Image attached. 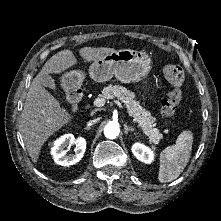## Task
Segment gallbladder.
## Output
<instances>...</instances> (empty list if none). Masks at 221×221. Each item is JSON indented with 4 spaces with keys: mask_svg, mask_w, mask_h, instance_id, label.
<instances>
[{
    "mask_svg": "<svg viewBox=\"0 0 221 221\" xmlns=\"http://www.w3.org/2000/svg\"><path fill=\"white\" fill-rule=\"evenodd\" d=\"M41 82H42V85L45 86V87H48V88L53 89V90L56 89L54 80L52 79L51 76H49L47 74L42 76V81Z\"/></svg>",
    "mask_w": 221,
    "mask_h": 221,
    "instance_id": "gallbladder-1",
    "label": "gallbladder"
}]
</instances>
